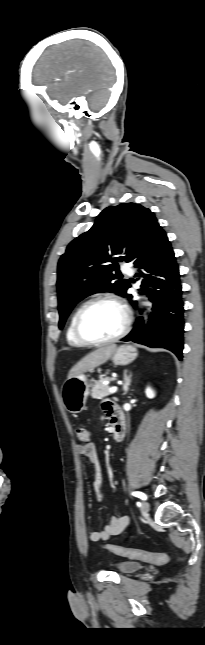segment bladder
<instances>
[{"label":"bladder","mask_w":205,"mask_h":645,"mask_svg":"<svg viewBox=\"0 0 205 645\" xmlns=\"http://www.w3.org/2000/svg\"><path fill=\"white\" fill-rule=\"evenodd\" d=\"M114 570L121 574H132L142 568V564L134 560H123L112 564Z\"/></svg>","instance_id":"31cf9c89"}]
</instances>
